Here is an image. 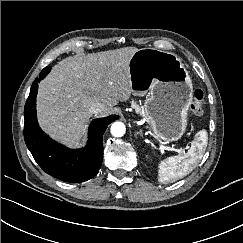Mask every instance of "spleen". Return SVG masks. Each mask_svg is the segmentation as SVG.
Listing matches in <instances>:
<instances>
[{
	"mask_svg": "<svg viewBox=\"0 0 243 243\" xmlns=\"http://www.w3.org/2000/svg\"><path fill=\"white\" fill-rule=\"evenodd\" d=\"M208 142L206 130L199 131L187 153L168 157L159 164L158 181L172 182L189 174L203 157Z\"/></svg>",
	"mask_w": 243,
	"mask_h": 243,
	"instance_id": "spleen-1",
	"label": "spleen"
}]
</instances>
